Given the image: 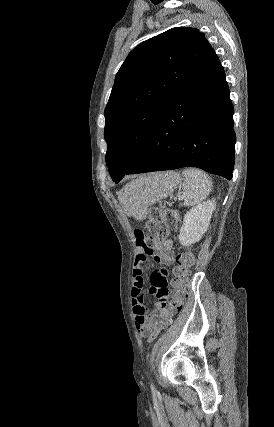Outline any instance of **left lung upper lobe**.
<instances>
[{
  "instance_id": "left-lung-upper-lobe-1",
  "label": "left lung upper lobe",
  "mask_w": 274,
  "mask_h": 427,
  "mask_svg": "<svg viewBox=\"0 0 274 427\" xmlns=\"http://www.w3.org/2000/svg\"><path fill=\"white\" fill-rule=\"evenodd\" d=\"M211 51L203 33L175 27L130 52L104 112L106 164L112 178L140 156L164 110Z\"/></svg>"
}]
</instances>
